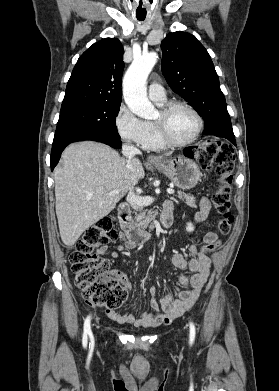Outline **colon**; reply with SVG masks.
Segmentation results:
<instances>
[{"label":"colon","mask_w":279,"mask_h":391,"mask_svg":"<svg viewBox=\"0 0 279 391\" xmlns=\"http://www.w3.org/2000/svg\"><path fill=\"white\" fill-rule=\"evenodd\" d=\"M195 161L205 170H215L220 179V186L213 196V207L220 219L218 230L227 235L234 222L230 212L231 198L228 184L230 182L234 153L232 148L217 139H206L190 152ZM115 218L105 216L88 227L75 244L70 254L71 269L76 275V286L83 298L90 304L115 310L127 297L126 290L119 283L117 276L109 269V262L99 257L96 249L117 239L114 228ZM220 245L217 239L206 246L207 251H213Z\"/></svg>","instance_id":"colon-1"}]
</instances>
